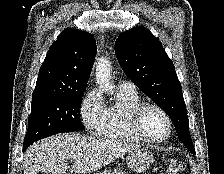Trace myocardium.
Instances as JSON below:
<instances>
[{"label": "myocardium", "mask_w": 224, "mask_h": 174, "mask_svg": "<svg viewBox=\"0 0 224 174\" xmlns=\"http://www.w3.org/2000/svg\"><path fill=\"white\" fill-rule=\"evenodd\" d=\"M148 109H154V110L158 111L165 118L167 125H168V130L164 136L155 138V137L148 136L144 132L143 127H142V117ZM129 121H130V126H131L133 132L142 141L149 142V143H161V142L167 140L170 137V135L172 133V129H173L172 120H171L170 116L168 115V113L162 107H160L159 105L154 104V103L141 102L139 105H137L131 111Z\"/></svg>", "instance_id": "f54148a6"}]
</instances>
